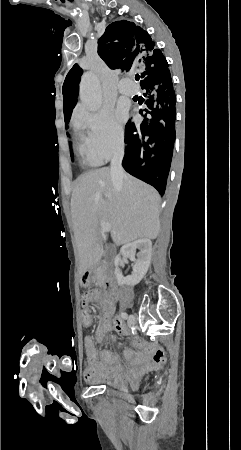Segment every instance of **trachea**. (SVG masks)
Listing matches in <instances>:
<instances>
[{"instance_id":"3493384b","label":"trachea","mask_w":241,"mask_h":450,"mask_svg":"<svg viewBox=\"0 0 241 450\" xmlns=\"http://www.w3.org/2000/svg\"><path fill=\"white\" fill-rule=\"evenodd\" d=\"M135 78H136V80H139V79H140V76H139V75H136Z\"/></svg>"}]
</instances>
